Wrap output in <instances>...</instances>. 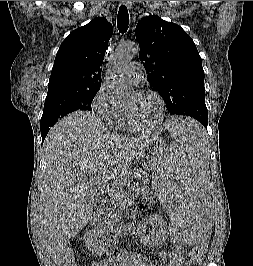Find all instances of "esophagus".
<instances>
[{"label":"esophagus","mask_w":253,"mask_h":266,"mask_svg":"<svg viewBox=\"0 0 253 266\" xmlns=\"http://www.w3.org/2000/svg\"><path fill=\"white\" fill-rule=\"evenodd\" d=\"M121 2L124 3L128 7L132 6V1H121Z\"/></svg>","instance_id":"34e87169"}]
</instances>
